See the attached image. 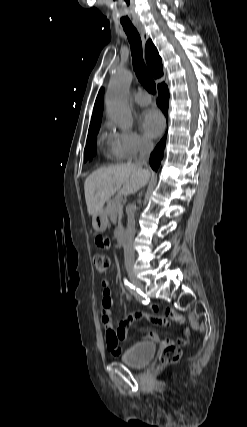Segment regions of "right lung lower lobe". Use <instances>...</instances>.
Returning <instances> with one entry per match:
<instances>
[{"label":"right lung lower lobe","instance_id":"obj_1","mask_svg":"<svg viewBox=\"0 0 247 427\" xmlns=\"http://www.w3.org/2000/svg\"><path fill=\"white\" fill-rule=\"evenodd\" d=\"M158 93L159 95H158L157 104L162 109L166 118H168L169 91L165 83H161L158 85ZM165 141H166V135L158 143V145L156 146V148L154 149V151L150 156V165L155 171H157L160 165L161 159L163 157Z\"/></svg>","mask_w":247,"mask_h":427}]
</instances>
